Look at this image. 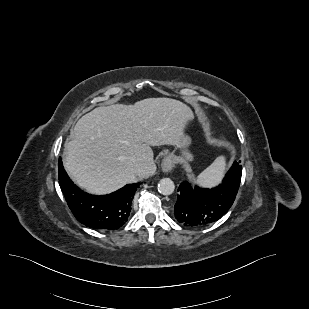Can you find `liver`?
I'll return each instance as SVG.
<instances>
[{
	"label": "liver",
	"instance_id": "obj_1",
	"mask_svg": "<svg viewBox=\"0 0 309 309\" xmlns=\"http://www.w3.org/2000/svg\"><path fill=\"white\" fill-rule=\"evenodd\" d=\"M192 118L187 105L171 98L97 107L78 120L65 144V169L88 192L111 193L136 176H152L156 165L151 146H179ZM134 160L142 164L139 174Z\"/></svg>",
	"mask_w": 309,
	"mask_h": 309
}]
</instances>
